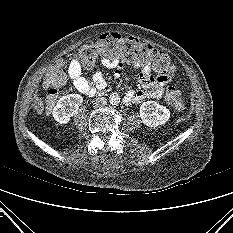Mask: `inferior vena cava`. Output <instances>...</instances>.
Here are the masks:
<instances>
[{
    "mask_svg": "<svg viewBox=\"0 0 233 233\" xmlns=\"http://www.w3.org/2000/svg\"><path fill=\"white\" fill-rule=\"evenodd\" d=\"M106 104V100L104 98H97L95 100V106H102Z\"/></svg>",
    "mask_w": 233,
    "mask_h": 233,
    "instance_id": "602c4592",
    "label": "inferior vena cava"
}]
</instances>
